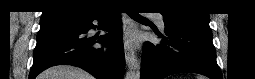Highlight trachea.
Instances as JSON below:
<instances>
[{
    "instance_id": "1",
    "label": "trachea",
    "mask_w": 255,
    "mask_h": 79,
    "mask_svg": "<svg viewBox=\"0 0 255 79\" xmlns=\"http://www.w3.org/2000/svg\"><path fill=\"white\" fill-rule=\"evenodd\" d=\"M129 16L136 21L147 20L144 17L140 16L139 14H129Z\"/></svg>"
}]
</instances>
